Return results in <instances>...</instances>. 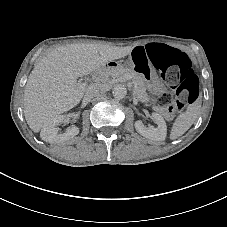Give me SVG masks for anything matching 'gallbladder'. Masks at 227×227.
Wrapping results in <instances>:
<instances>
[{
  "label": "gallbladder",
  "instance_id": "1",
  "mask_svg": "<svg viewBox=\"0 0 227 227\" xmlns=\"http://www.w3.org/2000/svg\"><path fill=\"white\" fill-rule=\"evenodd\" d=\"M81 81H82L84 84L89 85V84L93 81V75H92V74H89V75L83 77V78L81 79Z\"/></svg>",
  "mask_w": 227,
  "mask_h": 227
}]
</instances>
